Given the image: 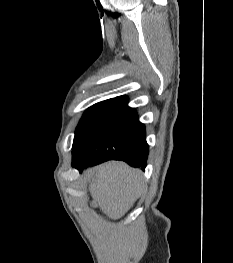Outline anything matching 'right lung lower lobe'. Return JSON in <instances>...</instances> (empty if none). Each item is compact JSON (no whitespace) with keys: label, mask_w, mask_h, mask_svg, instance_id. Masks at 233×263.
<instances>
[{"label":"right lung lower lobe","mask_w":233,"mask_h":263,"mask_svg":"<svg viewBox=\"0 0 233 263\" xmlns=\"http://www.w3.org/2000/svg\"><path fill=\"white\" fill-rule=\"evenodd\" d=\"M148 153L144 124L127 98L119 97L85 136L74 141L72 163L80 169L114 159L144 170Z\"/></svg>","instance_id":"1"}]
</instances>
